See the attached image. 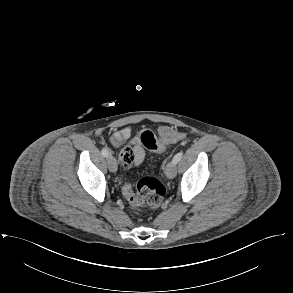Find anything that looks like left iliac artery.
<instances>
[{
    "mask_svg": "<svg viewBox=\"0 0 293 293\" xmlns=\"http://www.w3.org/2000/svg\"><path fill=\"white\" fill-rule=\"evenodd\" d=\"M182 156H183V151L178 152V153L173 157V162L177 164V163L181 160Z\"/></svg>",
    "mask_w": 293,
    "mask_h": 293,
    "instance_id": "obj_1",
    "label": "left iliac artery"
}]
</instances>
